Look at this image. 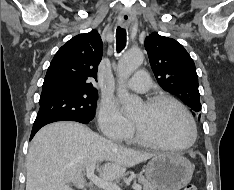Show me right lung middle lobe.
I'll use <instances>...</instances> for the list:
<instances>
[{
	"mask_svg": "<svg viewBox=\"0 0 234 190\" xmlns=\"http://www.w3.org/2000/svg\"><path fill=\"white\" fill-rule=\"evenodd\" d=\"M97 90L62 85L42 86L40 109L33 129L60 119L89 123L96 108Z\"/></svg>",
	"mask_w": 234,
	"mask_h": 190,
	"instance_id": "obj_1",
	"label": "right lung middle lobe"
}]
</instances>
